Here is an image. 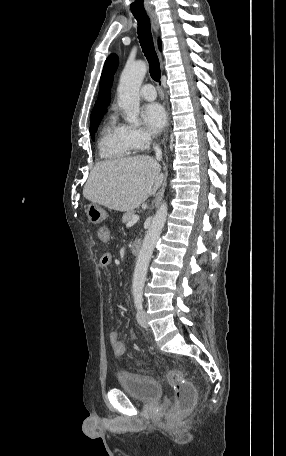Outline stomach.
Here are the masks:
<instances>
[{
    "label": "stomach",
    "mask_w": 286,
    "mask_h": 456,
    "mask_svg": "<svg viewBox=\"0 0 286 456\" xmlns=\"http://www.w3.org/2000/svg\"><path fill=\"white\" fill-rule=\"evenodd\" d=\"M88 220L93 224L102 222L107 217V213L98 204L92 203L87 208Z\"/></svg>",
    "instance_id": "1"
}]
</instances>
